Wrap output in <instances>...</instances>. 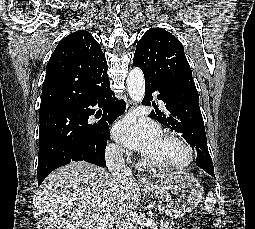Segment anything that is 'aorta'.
<instances>
[{"label":"aorta","mask_w":255,"mask_h":229,"mask_svg":"<svg viewBox=\"0 0 255 229\" xmlns=\"http://www.w3.org/2000/svg\"><path fill=\"white\" fill-rule=\"evenodd\" d=\"M127 88L130 98L135 102H141L145 94V80L140 68L134 67L127 77Z\"/></svg>","instance_id":"obj_1"}]
</instances>
